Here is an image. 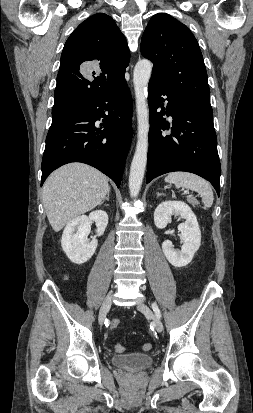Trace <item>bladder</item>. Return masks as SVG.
Wrapping results in <instances>:
<instances>
[{"mask_svg":"<svg viewBox=\"0 0 253 413\" xmlns=\"http://www.w3.org/2000/svg\"><path fill=\"white\" fill-rule=\"evenodd\" d=\"M154 362L151 354L147 353H126L116 354L111 357V363L122 369L139 371L149 368Z\"/></svg>","mask_w":253,"mask_h":413,"instance_id":"obj_1","label":"bladder"}]
</instances>
